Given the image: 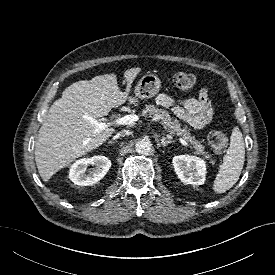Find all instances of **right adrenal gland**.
Returning <instances> with one entry per match:
<instances>
[{
    "instance_id": "obj_1",
    "label": "right adrenal gland",
    "mask_w": 275,
    "mask_h": 275,
    "mask_svg": "<svg viewBox=\"0 0 275 275\" xmlns=\"http://www.w3.org/2000/svg\"><path fill=\"white\" fill-rule=\"evenodd\" d=\"M116 138H114L113 140L109 141L108 144H112V143H116L117 141H115Z\"/></svg>"
}]
</instances>
